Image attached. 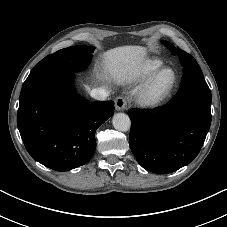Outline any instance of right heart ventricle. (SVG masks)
Listing matches in <instances>:
<instances>
[{
  "label": "right heart ventricle",
  "instance_id": "e07e8e85",
  "mask_svg": "<svg viewBox=\"0 0 227 227\" xmlns=\"http://www.w3.org/2000/svg\"><path fill=\"white\" fill-rule=\"evenodd\" d=\"M163 66L164 63L162 60L158 58H148L135 65L129 71L127 78L132 82H141Z\"/></svg>",
  "mask_w": 227,
  "mask_h": 227
}]
</instances>
